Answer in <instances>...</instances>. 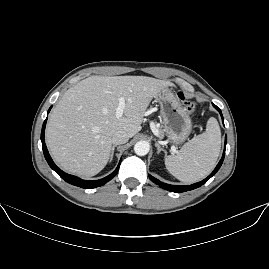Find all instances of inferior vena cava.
Masks as SVG:
<instances>
[{
  "mask_svg": "<svg viewBox=\"0 0 269 269\" xmlns=\"http://www.w3.org/2000/svg\"><path fill=\"white\" fill-rule=\"evenodd\" d=\"M129 140V135L123 130H118L112 135V143L119 145L125 144Z\"/></svg>",
  "mask_w": 269,
  "mask_h": 269,
  "instance_id": "1",
  "label": "inferior vena cava"
}]
</instances>
